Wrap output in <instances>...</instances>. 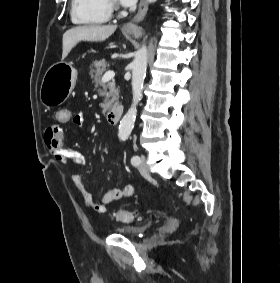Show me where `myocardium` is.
<instances>
[{"mask_svg": "<svg viewBox=\"0 0 280 283\" xmlns=\"http://www.w3.org/2000/svg\"><path fill=\"white\" fill-rule=\"evenodd\" d=\"M109 10L118 9V3L116 0H105Z\"/></svg>", "mask_w": 280, "mask_h": 283, "instance_id": "obj_1", "label": "myocardium"}]
</instances>
